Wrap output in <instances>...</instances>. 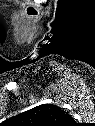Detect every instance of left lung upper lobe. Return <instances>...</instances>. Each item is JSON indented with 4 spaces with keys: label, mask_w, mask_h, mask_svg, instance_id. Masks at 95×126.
I'll return each instance as SVG.
<instances>
[{
    "label": "left lung upper lobe",
    "mask_w": 95,
    "mask_h": 126,
    "mask_svg": "<svg viewBox=\"0 0 95 126\" xmlns=\"http://www.w3.org/2000/svg\"><path fill=\"white\" fill-rule=\"evenodd\" d=\"M71 120V115L53 104L39 105L15 117L19 126H70Z\"/></svg>",
    "instance_id": "1"
}]
</instances>
